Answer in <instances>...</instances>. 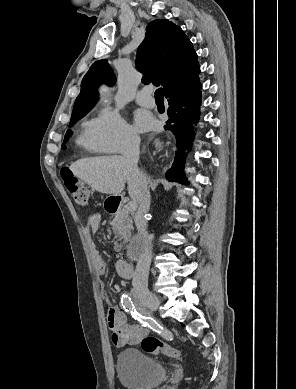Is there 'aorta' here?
I'll list each match as a JSON object with an SVG mask.
<instances>
[{"label":"aorta","mask_w":296,"mask_h":389,"mask_svg":"<svg viewBox=\"0 0 296 389\" xmlns=\"http://www.w3.org/2000/svg\"><path fill=\"white\" fill-rule=\"evenodd\" d=\"M108 90L106 88L101 89V95L106 96ZM146 246V242L144 239L139 235L136 236L132 242L129 245L128 253L131 258H137L141 252L144 250Z\"/></svg>","instance_id":"762f6f07"}]
</instances>
